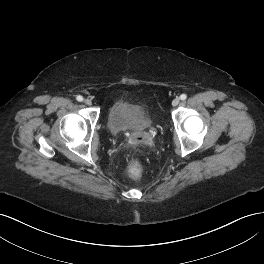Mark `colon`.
<instances>
[{
    "label": "colon",
    "mask_w": 264,
    "mask_h": 264,
    "mask_svg": "<svg viewBox=\"0 0 264 264\" xmlns=\"http://www.w3.org/2000/svg\"><path fill=\"white\" fill-rule=\"evenodd\" d=\"M128 174L131 178H139L142 175V166L138 161H132L128 167Z\"/></svg>",
    "instance_id": "1"
}]
</instances>
